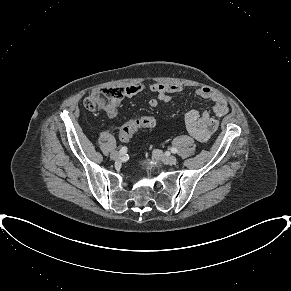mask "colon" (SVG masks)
I'll list each match as a JSON object with an SVG mask.
<instances>
[{
  "mask_svg": "<svg viewBox=\"0 0 291 291\" xmlns=\"http://www.w3.org/2000/svg\"><path fill=\"white\" fill-rule=\"evenodd\" d=\"M124 96L125 90L121 87L98 88L86 97L84 104L90 110L106 111L116 108ZM155 124V118L149 115L134 118L122 127L120 139L127 142L139 129L151 128Z\"/></svg>",
  "mask_w": 291,
  "mask_h": 291,
  "instance_id": "1",
  "label": "colon"
}]
</instances>
